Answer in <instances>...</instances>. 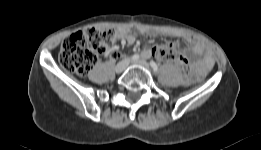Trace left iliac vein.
<instances>
[{
	"mask_svg": "<svg viewBox=\"0 0 261 150\" xmlns=\"http://www.w3.org/2000/svg\"><path fill=\"white\" fill-rule=\"evenodd\" d=\"M133 64H137V65H140V66H143L145 67L146 69L149 68V66L145 63V61L143 59L141 60H137V61H132Z\"/></svg>",
	"mask_w": 261,
	"mask_h": 150,
	"instance_id": "1",
	"label": "left iliac vein"
}]
</instances>
